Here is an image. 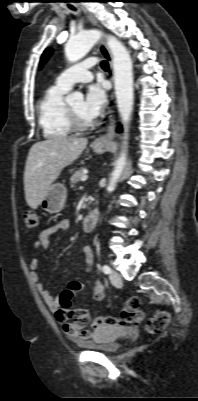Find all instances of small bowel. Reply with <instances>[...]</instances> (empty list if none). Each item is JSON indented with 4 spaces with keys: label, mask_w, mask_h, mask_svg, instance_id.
Wrapping results in <instances>:
<instances>
[{
    "label": "small bowel",
    "mask_w": 198,
    "mask_h": 401,
    "mask_svg": "<svg viewBox=\"0 0 198 401\" xmlns=\"http://www.w3.org/2000/svg\"><path fill=\"white\" fill-rule=\"evenodd\" d=\"M70 223L68 220H60L49 227L45 228L38 236L36 242L34 243V247L36 249H47L49 245V238L58 233L65 232L69 229ZM83 254L86 260V270L90 271L92 266V249L90 246L83 247ZM38 268V260L37 258H33L30 262V274L32 279L35 281L37 290L42 296L44 302L50 309V311L54 314L55 320L61 324L62 330L64 334L78 343H86L91 338H95L99 331L105 327L99 325L95 320L89 321L87 325L88 328L85 329V326H81L78 321V316L71 314L70 312L63 310L59 307V300L51 295V293L45 288L43 283L40 281V277L37 273ZM77 285L75 289V293L80 291L83 288V285L80 282H74ZM105 297V291L103 284L100 280L95 279L93 282V299L95 301H102ZM72 318V321H70Z\"/></svg>",
    "instance_id": "1"
}]
</instances>
